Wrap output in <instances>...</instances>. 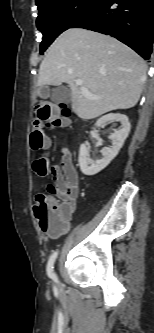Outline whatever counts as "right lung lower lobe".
<instances>
[{"mask_svg": "<svg viewBox=\"0 0 154 333\" xmlns=\"http://www.w3.org/2000/svg\"><path fill=\"white\" fill-rule=\"evenodd\" d=\"M71 28L110 35L149 59L154 39V0H101Z\"/></svg>", "mask_w": 154, "mask_h": 333, "instance_id": "98d812e1", "label": "right lung lower lobe"}]
</instances>
